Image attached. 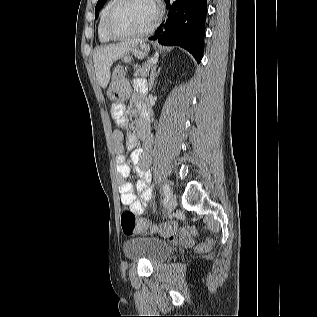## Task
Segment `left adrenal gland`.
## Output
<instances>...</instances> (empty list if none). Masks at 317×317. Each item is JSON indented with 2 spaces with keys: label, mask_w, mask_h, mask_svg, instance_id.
Returning <instances> with one entry per match:
<instances>
[{
  "label": "left adrenal gland",
  "mask_w": 317,
  "mask_h": 317,
  "mask_svg": "<svg viewBox=\"0 0 317 317\" xmlns=\"http://www.w3.org/2000/svg\"><path fill=\"white\" fill-rule=\"evenodd\" d=\"M159 71H160V68H159L158 71L156 72V66H154V68H153L152 71H151V75H150V79H149V90H150V91L152 90V87H153V85H154L155 77L158 76Z\"/></svg>",
  "instance_id": "left-adrenal-gland-1"
}]
</instances>
